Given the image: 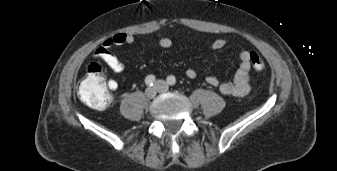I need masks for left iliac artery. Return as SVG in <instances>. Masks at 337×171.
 <instances>
[{
	"instance_id": "1",
	"label": "left iliac artery",
	"mask_w": 337,
	"mask_h": 171,
	"mask_svg": "<svg viewBox=\"0 0 337 171\" xmlns=\"http://www.w3.org/2000/svg\"><path fill=\"white\" fill-rule=\"evenodd\" d=\"M167 82H168V84H170V85H175L176 84V79H175V77L174 76H168L167 77Z\"/></svg>"
}]
</instances>
